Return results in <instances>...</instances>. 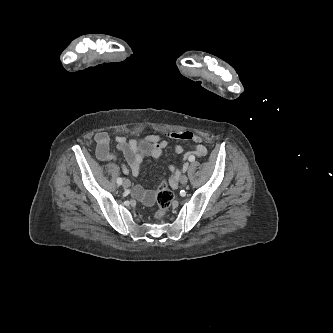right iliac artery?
<instances>
[{
	"label": "right iliac artery",
	"mask_w": 333,
	"mask_h": 333,
	"mask_svg": "<svg viewBox=\"0 0 333 333\" xmlns=\"http://www.w3.org/2000/svg\"><path fill=\"white\" fill-rule=\"evenodd\" d=\"M122 182H123L122 178H118V179H117V184H118V185H121Z\"/></svg>",
	"instance_id": "1"
}]
</instances>
